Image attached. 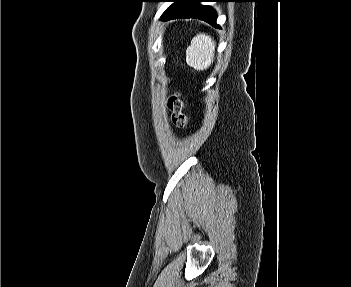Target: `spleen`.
<instances>
[{
  "label": "spleen",
  "mask_w": 351,
  "mask_h": 287,
  "mask_svg": "<svg viewBox=\"0 0 351 287\" xmlns=\"http://www.w3.org/2000/svg\"><path fill=\"white\" fill-rule=\"evenodd\" d=\"M215 42L204 33L197 34L186 50V62L197 70H205L214 60Z\"/></svg>",
  "instance_id": "3e777b00"
}]
</instances>
